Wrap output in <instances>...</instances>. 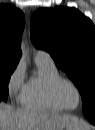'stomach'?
<instances>
[{"mask_svg":"<svg viewBox=\"0 0 95 130\" xmlns=\"http://www.w3.org/2000/svg\"><path fill=\"white\" fill-rule=\"evenodd\" d=\"M83 125L81 124H70L68 126H65V128L63 130H84Z\"/></svg>","mask_w":95,"mask_h":130,"instance_id":"obj_1","label":"stomach"}]
</instances>
